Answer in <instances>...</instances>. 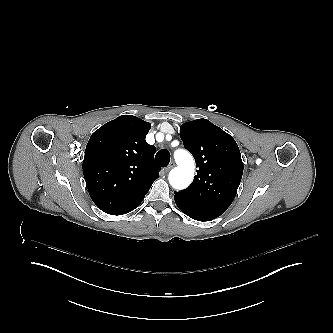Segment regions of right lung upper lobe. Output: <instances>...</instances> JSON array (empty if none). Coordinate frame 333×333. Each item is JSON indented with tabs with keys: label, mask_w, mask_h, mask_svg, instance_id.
I'll return each instance as SVG.
<instances>
[{
	"label": "right lung upper lobe",
	"mask_w": 333,
	"mask_h": 333,
	"mask_svg": "<svg viewBox=\"0 0 333 333\" xmlns=\"http://www.w3.org/2000/svg\"><path fill=\"white\" fill-rule=\"evenodd\" d=\"M151 125L132 115H122L112 120L90 137L83 160V174L101 160L107 166L110 182L87 185L92 200L108 195L114 186L134 178L154 182L160 167L154 162L155 147L145 137Z\"/></svg>",
	"instance_id": "1"
}]
</instances>
